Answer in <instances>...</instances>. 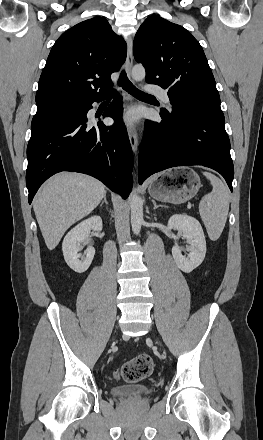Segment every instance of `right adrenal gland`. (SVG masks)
I'll list each match as a JSON object with an SVG mask.
<instances>
[{
	"label": "right adrenal gland",
	"mask_w": 263,
	"mask_h": 440,
	"mask_svg": "<svg viewBox=\"0 0 263 440\" xmlns=\"http://www.w3.org/2000/svg\"><path fill=\"white\" fill-rule=\"evenodd\" d=\"M103 203L108 205V201H107L106 195L104 196L103 201L100 203V206H102Z\"/></svg>",
	"instance_id": "right-adrenal-gland-1"
}]
</instances>
